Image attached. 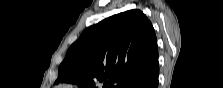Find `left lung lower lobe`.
<instances>
[{"label": "left lung lower lobe", "instance_id": "1", "mask_svg": "<svg viewBox=\"0 0 223 88\" xmlns=\"http://www.w3.org/2000/svg\"><path fill=\"white\" fill-rule=\"evenodd\" d=\"M159 64L156 61L145 73L139 76L128 88H158Z\"/></svg>", "mask_w": 223, "mask_h": 88}]
</instances>
